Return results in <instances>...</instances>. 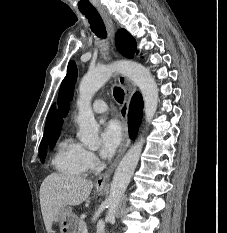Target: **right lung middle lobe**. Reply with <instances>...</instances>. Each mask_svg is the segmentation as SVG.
<instances>
[{
    "instance_id": "right-lung-middle-lobe-1",
    "label": "right lung middle lobe",
    "mask_w": 227,
    "mask_h": 233,
    "mask_svg": "<svg viewBox=\"0 0 227 233\" xmlns=\"http://www.w3.org/2000/svg\"><path fill=\"white\" fill-rule=\"evenodd\" d=\"M47 146L41 145L40 146V160L42 163L45 161L46 153H47Z\"/></svg>"
}]
</instances>
